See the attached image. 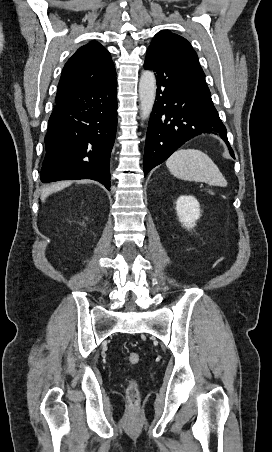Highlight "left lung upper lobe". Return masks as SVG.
Instances as JSON below:
<instances>
[{
  "label": "left lung upper lobe",
  "instance_id": "obj_1",
  "mask_svg": "<svg viewBox=\"0 0 272 452\" xmlns=\"http://www.w3.org/2000/svg\"><path fill=\"white\" fill-rule=\"evenodd\" d=\"M147 51L156 52L164 57L179 61L205 76L199 64L198 56L190 43L169 30L158 32Z\"/></svg>",
  "mask_w": 272,
  "mask_h": 452
}]
</instances>
